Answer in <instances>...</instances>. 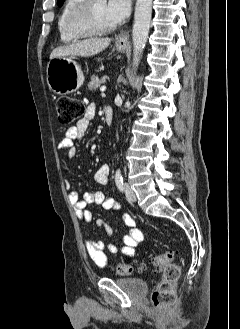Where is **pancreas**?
Segmentation results:
<instances>
[{
    "mask_svg": "<svg viewBox=\"0 0 240 329\" xmlns=\"http://www.w3.org/2000/svg\"><path fill=\"white\" fill-rule=\"evenodd\" d=\"M106 79H107V76H103L99 79L98 76L93 75L91 77V81L88 84V88L90 90H96L102 83L105 82Z\"/></svg>",
    "mask_w": 240,
    "mask_h": 329,
    "instance_id": "obj_1",
    "label": "pancreas"
}]
</instances>
